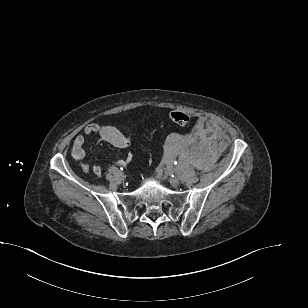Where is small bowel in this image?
Returning <instances> with one entry per match:
<instances>
[{
	"label": "small bowel",
	"instance_id": "small-bowel-1",
	"mask_svg": "<svg viewBox=\"0 0 308 308\" xmlns=\"http://www.w3.org/2000/svg\"><path fill=\"white\" fill-rule=\"evenodd\" d=\"M90 135H97L101 140L108 142L116 148L125 149L131 144V137L128 133H124L114 126L101 125L97 123L89 124L84 131L77 135L73 141L71 155L79 163L80 167L96 176L102 174V167L99 165L90 166L84 159L86 156L84 145ZM133 159V155L128 153L125 158L117 161L118 165L125 166Z\"/></svg>",
	"mask_w": 308,
	"mask_h": 308
}]
</instances>
